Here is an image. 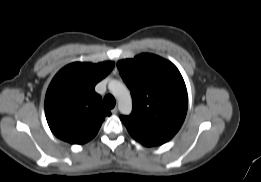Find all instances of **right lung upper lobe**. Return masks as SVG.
Instances as JSON below:
<instances>
[{
  "mask_svg": "<svg viewBox=\"0 0 261 182\" xmlns=\"http://www.w3.org/2000/svg\"><path fill=\"white\" fill-rule=\"evenodd\" d=\"M114 62H74L51 81L45 97V115L51 131L71 144H84L98 132L111 112L104 108L95 85L113 69Z\"/></svg>",
  "mask_w": 261,
  "mask_h": 182,
  "instance_id": "obj_1",
  "label": "right lung upper lobe"
}]
</instances>
